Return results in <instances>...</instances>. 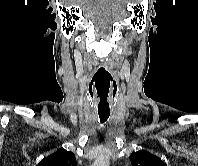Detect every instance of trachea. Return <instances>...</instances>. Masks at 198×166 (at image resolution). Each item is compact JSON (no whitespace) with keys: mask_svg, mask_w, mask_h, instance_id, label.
<instances>
[{"mask_svg":"<svg viewBox=\"0 0 198 166\" xmlns=\"http://www.w3.org/2000/svg\"><path fill=\"white\" fill-rule=\"evenodd\" d=\"M101 123L107 121L110 116V113H98Z\"/></svg>","mask_w":198,"mask_h":166,"instance_id":"3493384b","label":"trachea"}]
</instances>
